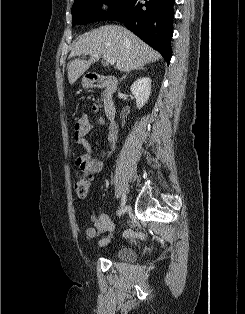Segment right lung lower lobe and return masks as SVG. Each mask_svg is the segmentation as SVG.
<instances>
[{
  "label": "right lung lower lobe",
  "mask_w": 245,
  "mask_h": 314,
  "mask_svg": "<svg viewBox=\"0 0 245 314\" xmlns=\"http://www.w3.org/2000/svg\"><path fill=\"white\" fill-rule=\"evenodd\" d=\"M175 0H130L106 19L123 22L144 42L160 52L169 62L172 56L170 41L173 35Z\"/></svg>",
  "instance_id": "1"
}]
</instances>
